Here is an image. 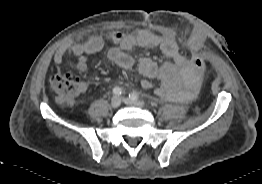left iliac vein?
<instances>
[{
  "label": "left iliac vein",
  "instance_id": "1",
  "mask_svg": "<svg viewBox=\"0 0 262 184\" xmlns=\"http://www.w3.org/2000/svg\"><path fill=\"white\" fill-rule=\"evenodd\" d=\"M123 102L128 105H133L137 107H144V103L141 100H133L131 98H122Z\"/></svg>",
  "mask_w": 262,
  "mask_h": 184
}]
</instances>
